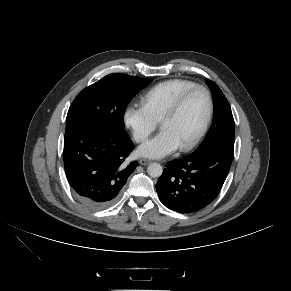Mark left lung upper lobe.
Listing matches in <instances>:
<instances>
[{"label":"left lung upper lobe","mask_w":291,"mask_h":291,"mask_svg":"<svg viewBox=\"0 0 291 291\" xmlns=\"http://www.w3.org/2000/svg\"><path fill=\"white\" fill-rule=\"evenodd\" d=\"M208 85L214 100V119L206 138L197 150L217 144L234 146L235 123L230 105L220 88L214 82L208 81Z\"/></svg>","instance_id":"left-lung-upper-lobe-1"}]
</instances>
